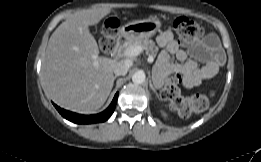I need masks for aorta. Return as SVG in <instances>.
Here are the masks:
<instances>
[{
  "instance_id": "1",
  "label": "aorta",
  "mask_w": 261,
  "mask_h": 162,
  "mask_svg": "<svg viewBox=\"0 0 261 162\" xmlns=\"http://www.w3.org/2000/svg\"><path fill=\"white\" fill-rule=\"evenodd\" d=\"M145 73L142 70L136 71L133 75H132V81L136 84H142L145 81Z\"/></svg>"
}]
</instances>
